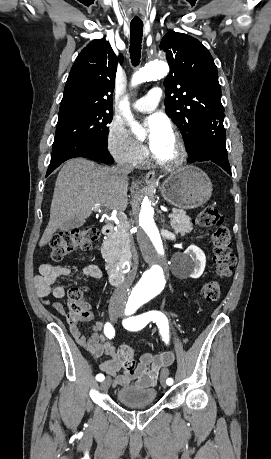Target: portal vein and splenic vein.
<instances>
[{
  "instance_id": "1",
  "label": "portal vein and splenic vein",
  "mask_w": 271,
  "mask_h": 459,
  "mask_svg": "<svg viewBox=\"0 0 271 459\" xmlns=\"http://www.w3.org/2000/svg\"><path fill=\"white\" fill-rule=\"evenodd\" d=\"M92 210H94V212H99L98 208H92ZM170 216H171V217H174L175 215H174L173 212L171 213V215L168 214V219L170 218Z\"/></svg>"
}]
</instances>
